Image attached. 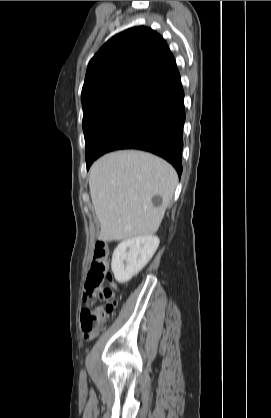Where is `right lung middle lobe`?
Wrapping results in <instances>:
<instances>
[{
	"mask_svg": "<svg viewBox=\"0 0 271 418\" xmlns=\"http://www.w3.org/2000/svg\"><path fill=\"white\" fill-rule=\"evenodd\" d=\"M151 101L135 95H119L83 108V131L87 169L108 139Z\"/></svg>",
	"mask_w": 271,
	"mask_h": 418,
	"instance_id": "right-lung-middle-lobe-1",
	"label": "right lung middle lobe"
}]
</instances>
